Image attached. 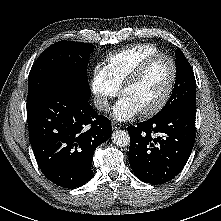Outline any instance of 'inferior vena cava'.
<instances>
[{"instance_id":"obj_1","label":"inferior vena cava","mask_w":221,"mask_h":221,"mask_svg":"<svg viewBox=\"0 0 221 221\" xmlns=\"http://www.w3.org/2000/svg\"><path fill=\"white\" fill-rule=\"evenodd\" d=\"M93 103L98 110L107 111L109 109L108 100L104 96L96 95L93 99Z\"/></svg>"}]
</instances>
